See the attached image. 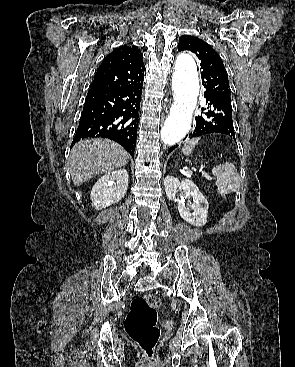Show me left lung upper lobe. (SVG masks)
Returning a JSON list of instances; mask_svg holds the SVG:
<instances>
[{
	"label": "left lung upper lobe",
	"mask_w": 295,
	"mask_h": 367,
	"mask_svg": "<svg viewBox=\"0 0 295 367\" xmlns=\"http://www.w3.org/2000/svg\"><path fill=\"white\" fill-rule=\"evenodd\" d=\"M184 50L192 51L201 61V78L206 88L205 93L211 92L230 98L228 74L218 53L203 40L190 35H184L179 40L178 51Z\"/></svg>",
	"instance_id": "obj_1"
}]
</instances>
